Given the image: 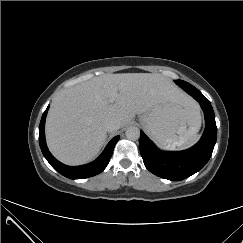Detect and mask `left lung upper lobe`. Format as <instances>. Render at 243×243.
Masks as SVG:
<instances>
[{
    "label": "left lung upper lobe",
    "instance_id": "5c2ea615",
    "mask_svg": "<svg viewBox=\"0 0 243 243\" xmlns=\"http://www.w3.org/2000/svg\"><path fill=\"white\" fill-rule=\"evenodd\" d=\"M176 84L185 83L183 80H175Z\"/></svg>",
    "mask_w": 243,
    "mask_h": 243
}]
</instances>
